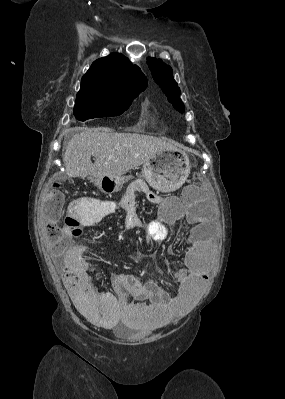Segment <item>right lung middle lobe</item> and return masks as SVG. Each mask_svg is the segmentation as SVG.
I'll use <instances>...</instances> for the list:
<instances>
[{
  "instance_id": "dd1d6c3e",
  "label": "right lung middle lobe",
  "mask_w": 285,
  "mask_h": 399,
  "mask_svg": "<svg viewBox=\"0 0 285 399\" xmlns=\"http://www.w3.org/2000/svg\"><path fill=\"white\" fill-rule=\"evenodd\" d=\"M138 94H123L104 98H76L74 115L80 121L91 118L113 117L128 109Z\"/></svg>"
}]
</instances>
